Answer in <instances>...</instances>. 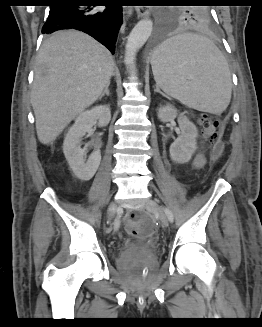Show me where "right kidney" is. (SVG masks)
I'll return each instance as SVG.
<instances>
[{
	"instance_id": "obj_1",
	"label": "right kidney",
	"mask_w": 262,
	"mask_h": 327,
	"mask_svg": "<svg viewBox=\"0 0 262 327\" xmlns=\"http://www.w3.org/2000/svg\"><path fill=\"white\" fill-rule=\"evenodd\" d=\"M99 127H105L111 120V112L107 105H99L90 110L81 112L70 127L64 143L63 152L70 168L75 175L82 180H90L96 173L100 161L101 152L99 147L89 156L86 161L85 148H81L82 137L97 122Z\"/></svg>"
}]
</instances>
